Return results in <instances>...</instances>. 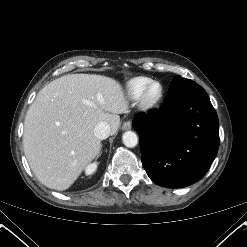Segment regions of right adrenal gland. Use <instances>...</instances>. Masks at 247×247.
I'll list each match as a JSON object with an SVG mask.
<instances>
[{
    "label": "right adrenal gland",
    "mask_w": 247,
    "mask_h": 247,
    "mask_svg": "<svg viewBox=\"0 0 247 247\" xmlns=\"http://www.w3.org/2000/svg\"><path fill=\"white\" fill-rule=\"evenodd\" d=\"M101 147H102V145H101ZM101 153H102V150H101V148H100V150H99V153H98V156H97V157H99V156L101 155Z\"/></svg>",
    "instance_id": "1"
}]
</instances>
